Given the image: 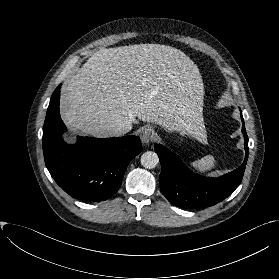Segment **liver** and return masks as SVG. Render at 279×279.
Instances as JSON below:
<instances>
[{
  "label": "liver",
  "instance_id": "obj_1",
  "mask_svg": "<svg viewBox=\"0 0 279 279\" xmlns=\"http://www.w3.org/2000/svg\"><path fill=\"white\" fill-rule=\"evenodd\" d=\"M203 98L199 69L184 52L135 44L94 53L63 87L60 110L71 128L94 137L120 136L142 120L207 143Z\"/></svg>",
  "mask_w": 279,
  "mask_h": 279
}]
</instances>
